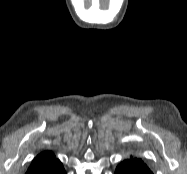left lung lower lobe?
<instances>
[{"mask_svg":"<svg viewBox=\"0 0 187 174\" xmlns=\"http://www.w3.org/2000/svg\"><path fill=\"white\" fill-rule=\"evenodd\" d=\"M115 174H153L148 167H129L124 164H119Z\"/></svg>","mask_w":187,"mask_h":174,"instance_id":"1","label":"left lung lower lobe"}]
</instances>
